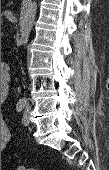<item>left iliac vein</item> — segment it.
<instances>
[{"label": "left iliac vein", "instance_id": "1", "mask_svg": "<svg viewBox=\"0 0 109 170\" xmlns=\"http://www.w3.org/2000/svg\"><path fill=\"white\" fill-rule=\"evenodd\" d=\"M22 123L23 125L27 126L30 123L28 113L25 112L22 116Z\"/></svg>", "mask_w": 109, "mask_h": 170}]
</instances>
